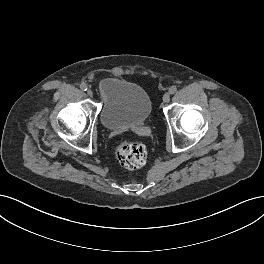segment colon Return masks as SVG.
<instances>
[{"label":"colon","instance_id":"1","mask_svg":"<svg viewBox=\"0 0 264 264\" xmlns=\"http://www.w3.org/2000/svg\"><path fill=\"white\" fill-rule=\"evenodd\" d=\"M115 156L122 167L136 170L145 165L147 150L142 143L123 141L117 145Z\"/></svg>","mask_w":264,"mask_h":264}]
</instances>
